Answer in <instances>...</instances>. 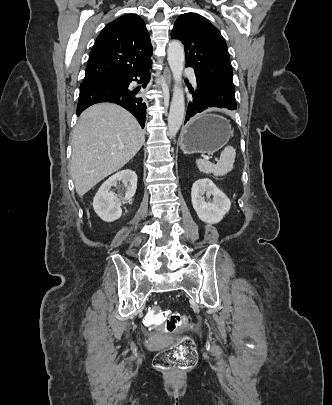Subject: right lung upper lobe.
I'll return each instance as SVG.
<instances>
[{
  "label": "right lung upper lobe",
  "mask_w": 332,
  "mask_h": 405,
  "mask_svg": "<svg viewBox=\"0 0 332 405\" xmlns=\"http://www.w3.org/2000/svg\"><path fill=\"white\" fill-rule=\"evenodd\" d=\"M151 55L143 19L135 14L124 15L110 22L97 37L84 80L137 70L151 62Z\"/></svg>",
  "instance_id": "1"
}]
</instances>
